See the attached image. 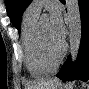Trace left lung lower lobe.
Here are the masks:
<instances>
[{"mask_svg": "<svg viewBox=\"0 0 89 89\" xmlns=\"http://www.w3.org/2000/svg\"><path fill=\"white\" fill-rule=\"evenodd\" d=\"M81 15V43L78 58L74 67H71L70 56L60 69L57 77L62 81L68 79H80L87 81L89 79V0H78Z\"/></svg>", "mask_w": 89, "mask_h": 89, "instance_id": "obj_1", "label": "left lung lower lobe"}]
</instances>
